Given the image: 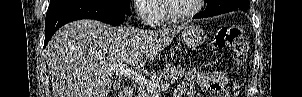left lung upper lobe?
Instances as JSON below:
<instances>
[{
	"mask_svg": "<svg viewBox=\"0 0 302 97\" xmlns=\"http://www.w3.org/2000/svg\"><path fill=\"white\" fill-rule=\"evenodd\" d=\"M206 9L219 13L231 12L234 10L245 11L249 7V0H205Z\"/></svg>",
	"mask_w": 302,
	"mask_h": 97,
	"instance_id": "1",
	"label": "left lung upper lobe"
}]
</instances>
